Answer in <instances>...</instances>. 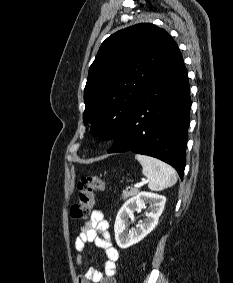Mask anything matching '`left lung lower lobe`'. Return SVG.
<instances>
[{
  "label": "left lung lower lobe",
  "mask_w": 233,
  "mask_h": 283,
  "mask_svg": "<svg viewBox=\"0 0 233 283\" xmlns=\"http://www.w3.org/2000/svg\"><path fill=\"white\" fill-rule=\"evenodd\" d=\"M190 87L177 44L146 82L109 153L132 151L172 165L183 178L190 123Z\"/></svg>",
  "instance_id": "1"
}]
</instances>
